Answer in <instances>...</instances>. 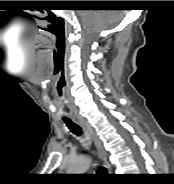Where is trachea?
Wrapping results in <instances>:
<instances>
[{
	"label": "trachea",
	"mask_w": 174,
	"mask_h": 184,
	"mask_svg": "<svg viewBox=\"0 0 174 184\" xmlns=\"http://www.w3.org/2000/svg\"><path fill=\"white\" fill-rule=\"evenodd\" d=\"M64 122L66 123L67 127L70 129L71 132H73L76 135L82 134V129L75 123H73L70 119H64ZM99 174H105L106 169L104 167H100L98 169Z\"/></svg>",
	"instance_id": "3493384b"
}]
</instances>
